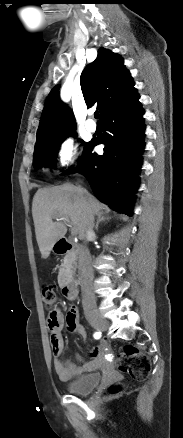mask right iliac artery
<instances>
[{
  "mask_svg": "<svg viewBox=\"0 0 183 438\" xmlns=\"http://www.w3.org/2000/svg\"><path fill=\"white\" fill-rule=\"evenodd\" d=\"M101 337V332H95L94 333V338L95 339H99Z\"/></svg>",
  "mask_w": 183,
  "mask_h": 438,
  "instance_id": "82829eb1",
  "label": "right iliac artery"
}]
</instances>
